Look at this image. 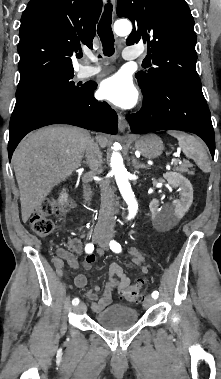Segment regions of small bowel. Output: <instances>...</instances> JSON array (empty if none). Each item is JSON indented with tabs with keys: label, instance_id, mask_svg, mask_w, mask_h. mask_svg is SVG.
<instances>
[{
	"label": "small bowel",
	"instance_id": "c3829d8e",
	"mask_svg": "<svg viewBox=\"0 0 221 379\" xmlns=\"http://www.w3.org/2000/svg\"><path fill=\"white\" fill-rule=\"evenodd\" d=\"M130 252L133 258V263L140 269L142 274H146L149 270V265L147 264L142 253L137 249H131ZM99 253L101 254L100 251ZM58 254L59 258H56L53 263L59 274L62 273L64 261H66L71 268L75 270L78 269V261L71 252L60 249ZM94 262L95 256L90 253L86 256L83 262V267L86 270H89ZM108 275L109 281L106 284L101 296H98V292L101 290L99 285H95L92 289L85 292L86 298L92 303V310L96 313L102 311L112 303L113 291L123 292L130 285V279L126 276L123 268L118 263H112L109 266ZM74 283L77 287L83 288L87 284V279L83 274H76L74 276Z\"/></svg>",
	"mask_w": 221,
	"mask_h": 379
}]
</instances>
